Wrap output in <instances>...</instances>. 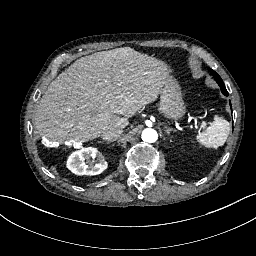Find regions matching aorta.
<instances>
[{
  "mask_svg": "<svg viewBox=\"0 0 256 256\" xmlns=\"http://www.w3.org/2000/svg\"><path fill=\"white\" fill-rule=\"evenodd\" d=\"M144 133H146L145 139L143 138ZM142 140L145 142H149V143H155L158 140V134H157L156 130L151 129V128H147V129L143 130Z\"/></svg>",
  "mask_w": 256,
  "mask_h": 256,
  "instance_id": "1",
  "label": "aorta"
}]
</instances>
